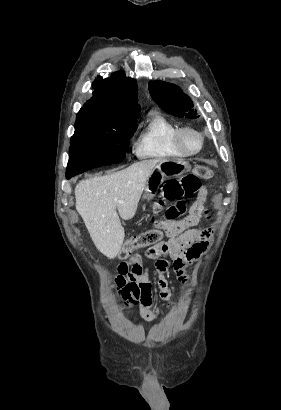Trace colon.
Wrapping results in <instances>:
<instances>
[{
  "instance_id": "1",
  "label": "colon",
  "mask_w": 281,
  "mask_h": 410,
  "mask_svg": "<svg viewBox=\"0 0 281 410\" xmlns=\"http://www.w3.org/2000/svg\"><path fill=\"white\" fill-rule=\"evenodd\" d=\"M212 177L213 171L211 168L203 164L196 165L192 174L164 185L156 204V210H160L169 203L165 208V218L167 221H173L185 211V200L199 189L200 182L210 180ZM154 222L158 225L160 220L154 219ZM162 235L159 227L135 235L124 242L118 257L125 260L131 256L133 251L159 243Z\"/></svg>"
}]
</instances>
